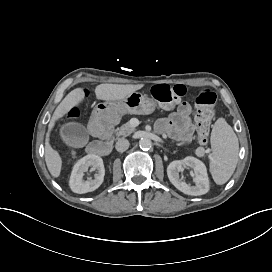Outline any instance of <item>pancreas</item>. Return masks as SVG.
I'll return each instance as SVG.
<instances>
[{
    "label": "pancreas",
    "mask_w": 272,
    "mask_h": 272,
    "mask_svg": "<svg viewBox=\"0 0 272 272\" xmlns=\"http://www.w3.org/2000/svg\"><path fill=\"white\" fill-rule=\"evenodd\" d=\"M110 123L118 124L120 122V118L111 119L109 120ZM135 131V127L130 123L127 122L123 124L120 128L116 130V137L119 138L120 136L126 137Z\"/></svg>",
    "instance_id": "1"
}]
</instances>
